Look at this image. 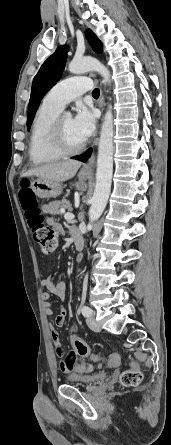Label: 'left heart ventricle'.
Wrapping results in <instances>:
<instances>
[{
    "label": "left heart ventricle",
    "instance_id": "left-heart-ventricle-1",
    "mask_svg": "<svg viewBox=\"0 0 171 445\" xmlns=\"http://www.w3.org/2000/svg\"><path fill=\"white\" fill-rule=\"evenodd\" d=\"M62 129L65 141L69 146H77L84 141V139L75 129L72 118L64 116L62 121Z\"/></svg>",
    "mask_w": 171,
    "mask_h": 445
}]
</instances>
